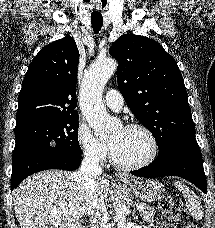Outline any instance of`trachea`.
I'll list each match as a JSON object with an SVG mask.
<instances>
[{
	"label": "trachea",
	"instance_id": "1",
	"mask_svg": "<svg viewBox=\"0 0 215 228\" xmlns=\"http://www.w3.org/2000/svg\"><path fill=\"white\" fill-rule=\"evenodd\" d=\"M91 23H92V28L95 33H98L103 24V17L100 13H94L91 15Z\"/></svg>",
	"mask_w": 215,
	"mask_h": 228
}]
</instances>
